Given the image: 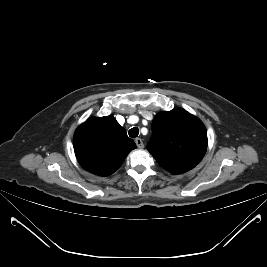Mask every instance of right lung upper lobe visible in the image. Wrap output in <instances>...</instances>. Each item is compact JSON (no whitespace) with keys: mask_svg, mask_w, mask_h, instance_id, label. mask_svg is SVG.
<instances>
[{"mask_svg":"<svg viewBox=\"0 0 267 267\" xmlns=\"http://www.w3.org/2000/svg\"><path fill=\"white\" fill-rule=\"evenodd\" d=\"M73 143L80 165L99 176L114 173L136 148L125 129L111 116L88 119L75 131Z\"/></svg>","mask_w":267,"mask_h":267,"instance_id":"cb5924a9","label":"right lung upper lobe"}]
</instances>
